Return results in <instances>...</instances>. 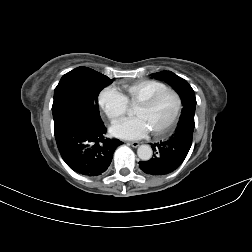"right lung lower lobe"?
Instances as JSON below:
<instances>
[{
	"instance_id": "98d812e1",
	"label": "right lung lower lobe",
	"mask_w": 252,
	"mask_h": 252,
	"mask_svg": "<svg viewBox=\"0 0 252 252\" xmlns=\"http://www.w3.org/2000/svg\"><path fill=\"white\" fill-rule=\"evenodd\" d=\"M106 131L103 121H92L77 114H65L54 120L56 143L63 160L85 176L105 172L115 149L123 143L105 138Z\"/></svg>"
}]
</instances>
